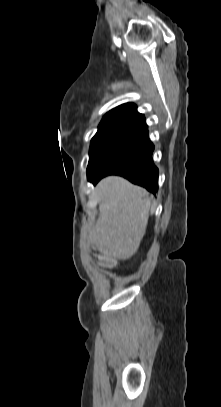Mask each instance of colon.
<instances>
[{
	"label": "colon",
	"mask_w": 221,
	"mask_h": 407,
	"mask_svg": "<svg viewBox=\"0 0 221 407\" xmlns=\"http://www.w3.org/2000/svg\"><path fill=\"white\" fill-rule=\"evenodd\" d=\"M102 259L104 260L103 263L106 265H109L111 262L109 260H107V256L103 255ZM114 265H117V262H114ZM104 267V266H103ZM108 269V268H107Z\"/></svg>",
	"instance_id": "obj_1"
}]
</instances>
